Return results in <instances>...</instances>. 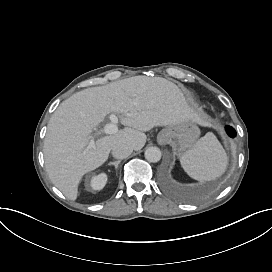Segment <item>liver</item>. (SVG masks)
Listing matches in <instances>:
<instances>
[{
    "label": "liver",
    "mask_w": 272,
    "mask_h": 272,
    "mask_svg": "<svg viewBox=\"0 0 272 272\" xmlns=\"http://www.w3.org/2000/svg\"><path fill=\"white\" fill-rule=\"evenodd\" d=\"M110 113L117 114L126 128L88 148L92 129ZM183 122L203 125L178 87L163 78L134 76L84 89L63 101L49 120L43 148L48 176L76 201L83 176L102 166L115 145L139 151L146 144L144 132Z\"/></svg>",
    "instance_id": "1"
}]
</instances>
